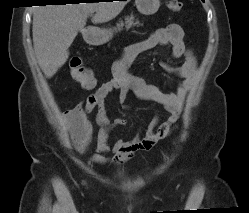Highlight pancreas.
Returning <instances> with one entry per match:
<instances>
[{
	"label": "pancreas",
	"mask_w": 249,
	"mask_h": 213,
	"mask_svg": "<svg viewBox=\"0 0 249 213\" xmlns=\"http://www.w3.org/2000/svg\"><path fill=\"white\" fill-rule=\"evenodd\" d=\"M136 25L139 26L140 23L138 20H135L134 15L131 14L130 16H125L124 21L120 20L119 23H117L115 31H121L123 30V27H125L126 29H130L131 27H134Z\"/></svg>",
	"instance_id": "obj_1"
}]
</instances>
